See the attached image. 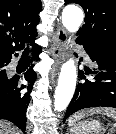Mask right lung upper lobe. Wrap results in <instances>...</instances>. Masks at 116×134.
Listing matches in <instances>:
<instances>
[{
  "label": "right lung upper lobe",
  "mask_w": 116,
  "mask_h": 134,
  "mask_svg": "<svg viewBox=\"0 0 116 134\" xmlns=\"http://www.w3.org/2000/svg\"><path fill=\"white\" fill-rule=\"evenodd\" d=\"M41 10V0H0V62L34 43Z\"/></svg>",
  "instance_id": "1"
}]
</instances>
